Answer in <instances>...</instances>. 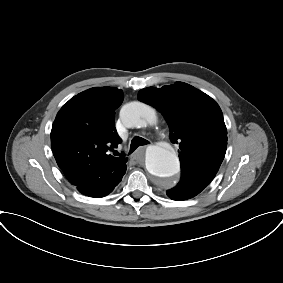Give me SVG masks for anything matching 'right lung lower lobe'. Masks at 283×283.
I'll return each mask as SVG.
<instances>
[{"instance_id": "right-lung-lower-lobe-1", "label": "right lung lower lobe", "mask_w": 283, "mask_h": 283, "mask_svg": "<svg viewBox=\"0 0 283 283\" xmlns=\"http://www.w3.org/2000/svg\"><path fill=\"white\" fill-rule=\"evenodd\" d=\"M117 171L120 174H117ZM126 172V165L117 167H104L98 171L97 176L83 180L76 185L78 191L90 197H103L113 191L114 187L122 180Z\"/></svg>"}]
</instances>
